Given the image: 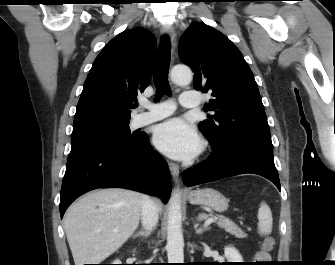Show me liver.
Instances as JSON below:
<instances>
[{
	"label": "liver",
	"instance_id": "obj_1",
	"mask_svg": "<svg viewBox=\"0 0 335 265\" xmlns=\"http://www.w3.org/2000/svg\"><path fill=\"white\" fill-rule=\"evenodd\" d=\"M142 199L138 192L108 188L75 202L64 217L75 265L100 264L118 250L139 225Z\"/></svg>",
	"mask_w": 335,
	"mask_h": 265
}]
</instances>
